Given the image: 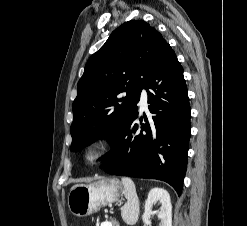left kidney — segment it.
<instances>
[{"label":"left kidney","instance_id":"1","mask_svg":"<svg viewBox=\"0 0 247 226\" xmlns=\"http://www.w3.org/2000/svg\"><path fill=\"white\" fill-rule=\"evenodd\" d=\"M159 202L161 208L157 213L160 219V226H172V205L169 193L162 188H153L149 191L144 205L143 222L144 226L150 225V217L153 214L152 207Z\"/></svg>","mask_w":247,"mask_h":226}]
</instances>
